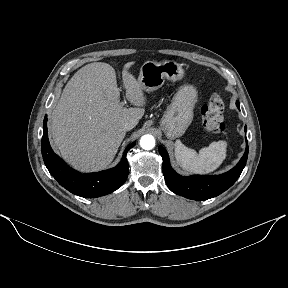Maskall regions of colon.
<instances>
[{
  "instance_id": "5ec220e1",
  "label": "colon",
  "mask_w": 288,
  "mask_h": 288,
  "mask_svg": "<svg viewBox=\"0 0 288 288\" xmlns=\"http://www.w3.org/2000/svg\"><path fill=\"white\" fill-rule=\"evenodd\" d=\"M223 99L218 94H213L201 109L204 129L211 135H219L225 130Z\"/></svg>"
}]
</instances>
